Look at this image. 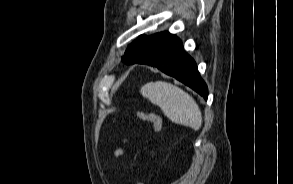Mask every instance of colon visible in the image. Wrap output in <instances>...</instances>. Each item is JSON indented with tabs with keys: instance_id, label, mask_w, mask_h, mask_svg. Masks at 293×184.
I'll use <instances>...</instances> for the list:
<instances>
[{
	"instance_id": "5ec220e1",
	"label": "colon",
	"mask_w": 293,
	"mask_h": 184,
	"mask_svg": "<svg viewBox=\"0 0 293 184\" xmlns=\"http://www.w3.org/2000/svg\"><path fill=\"white\" fill-rule=\"evenodd\" d=\"M135 115L138 119L145 121V122H150L153 125L154 132L158 133L162 129V120L161 118L154 114V113H145L142 111H136ZM135 184H143L140 181L135 182Z\"/></svg>"
}]
</instances>
